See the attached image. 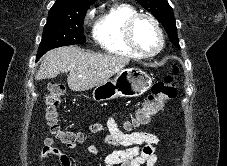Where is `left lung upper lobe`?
Instances as JSON below:
<instances>
[{"mask_svg":"<svg viewBox=\"0 0 227 166\" xmlns=\"http://www.w3.org/2000/svg\"><path fill=\"white\" fill-rule=\"evenodd\" d=\"M147 11L152 13L163 25L172 44L179 47L177 28L172 8L167 0H136Z\"/></svg>","mask_w":227,"mask_h":166,"instance_id":"5c2ea615","label":"left lung upper lobe"}]
</instances>
